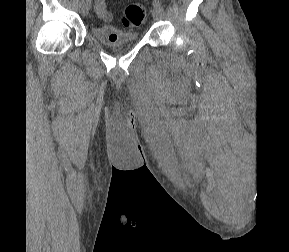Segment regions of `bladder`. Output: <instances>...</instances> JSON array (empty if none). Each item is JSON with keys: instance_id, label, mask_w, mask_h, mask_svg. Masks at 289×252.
<instances>
[{"instance_id": "1", "label": "bladder", "mask_w": 289, "mask_h": 252, "mask_svg": "<svg viewBox=\"0 0 289 252\" xmlns=\"http://www.w3.org/2000/svg\"><path fill=\"white\" fill-rule=\"evenodd\" d=\"M92 34L101 43L111 47L133 44L139 39L138 32L125 31L114 26H94Z\"/></svg>"}]
</instances>
